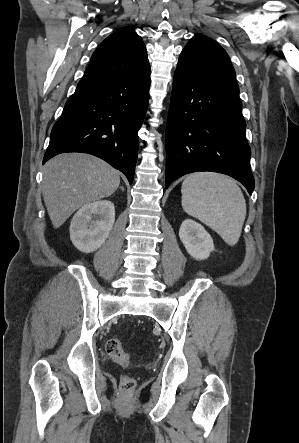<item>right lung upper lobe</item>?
Segmentation results:
<instances>
[{"instance_id":"right-lung-upper-lobe-1","label":"right lung upper lobe","mask_w":299,"mask_h":443,"mask_svg":"<svg viewBox=\"0 0 299 443\" xmlns=\"http://www.w3.org/2000/svg\"><path fill=\"white\" fill-rule=\"evenodd\" d=\"M150 73L146 47L132 29L123 28L108 36L91 57L82 80H112Z\"/></svg>"}]
</instances>
